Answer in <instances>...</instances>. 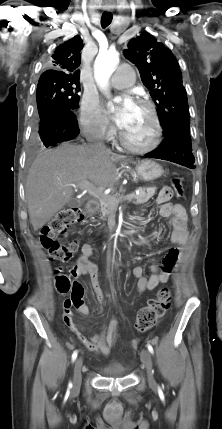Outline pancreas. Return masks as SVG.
<instances>
[{
	"mask_svg": "<svg viewBox=\"0 0 222 429\" xmlns=\"http://www.w3.org/2000/svg\"><path fill=\"white\" fill-rule=\"evenodd\" d=\"M156 190V187L139 188V194L136 195L133 193V198L131 200H133L134 204L146 203L150 198L154 196ZM115 199H118V197L110 195H105L103 198L100 199L101 219H104L106 217H114L118 207V204L115 202Z\"/></svg>",
	"mask_w": 222,
	"mask_h": 429,
	"instance_id": "obj_1",
	"label": "pancreas"
}]
</instances>
